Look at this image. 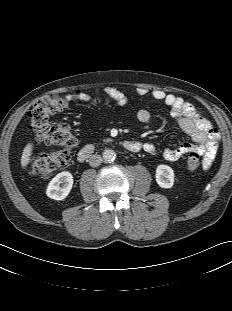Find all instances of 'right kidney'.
<instances>
[{
    "label": "right kidney",
    "mask_w": 232,
    "mask_h": 311,
    "mask_svg": "<svg viewBox=\"0 0 232 311\" xmlns=\"http://www.w3.org/2000/svg\"><path fill=\"white\" fill-rule=\"evenodd\" d=\"M73 186V176L68 171L57 174L48 184L46 194L54 200H63L70 193Z\"/></svg>",
    "instance_id": "obj_1"
}]
</instances>
